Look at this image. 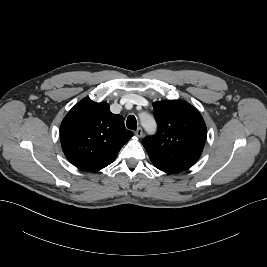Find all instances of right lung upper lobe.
Here are the masks:
<instances>
[{
    "label": "right lung upper lobe",
    "instance_id": "1",
    "mask_svg": "<svg viewBox=\"0 0 267 267\" xmlns=\"http://www.w3.org/2000/svg\"><path fill=\"white\" fill-rule=\"evenodd\" d=\"M132 136L122 116L113 114L109 104L89 98L77 103L60 126L64 154L84 171H99L111 164Z\"/></svg>",
    "mask_w": 267,
    "mask_h": 267
}]
</instances>
